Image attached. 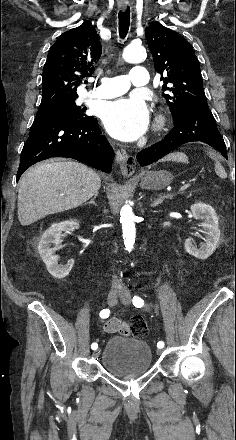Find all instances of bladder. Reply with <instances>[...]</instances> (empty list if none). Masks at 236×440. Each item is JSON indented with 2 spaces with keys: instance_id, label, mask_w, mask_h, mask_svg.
Masks as SVG:
<instances>
[{
  "instance_id": "obj_1",
  "label": "bladder",
  "mask_w": 236,
  "mask_h": 440,
  "mask_svg": "<svg viewBox=\"0 0 236 440\" xmlns=\"http://www.w3.org/2000/svg\"><path fill=\"white\" fill-rule=\"evenodd\" d=\"M101 362L115 376H136L152 368V350L148 343L140 339L114 336L101 352Z\"/></svg>"
}]
</instances>
